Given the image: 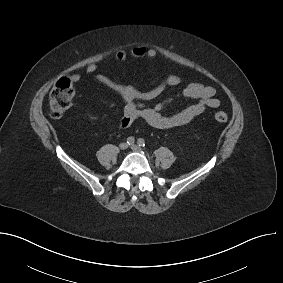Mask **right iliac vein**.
Returning <instances> with one entry per match:
<instances>
[{
  "mask_svg": "<svg viewBox=\"0 0 283 283\" xmlns=\"http://www.w3.org/2000/svg\"><path fill=\"white\" fill-rule=\"evenodd\" d=\"M127 147H128V145H127V143H125V142H122V143L119 144V148H120L121 150H125V149H127Z\"/></svg>",
  "mask_w": 283,
  "mask_h": 283,
  "instance_id": "right-iliac-vein-1",
  "label": "right iliac vein"
}]
</instances>
